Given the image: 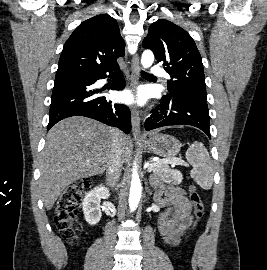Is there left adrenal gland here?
<instances>
[{"label": "left adrenal gland", "mask_w": 267, "mask_h": 270, "mask_svg": "<svg viewBox=\"0 0 267 270\" xmlns=\"http://www.w3.org/2000/svg\"><path fill=\"white\" fill-rule=\"evenodd\" d=\"M146 187H147V189H148V192H150V189H149V187H148V180H146ZM150 194H151V192H150Z\"/></svg>", "instance_id": "obj_1"}]
</instances>
